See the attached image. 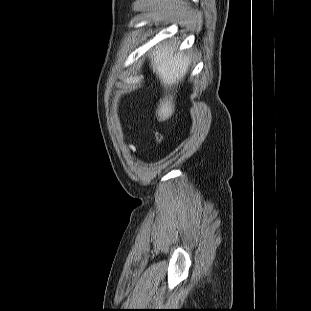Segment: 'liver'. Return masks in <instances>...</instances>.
Segmentation results:
<instances>
[{"mask_svg": "<svg viewBox=\"0 0 311 311\" xmlns=\"http://www.w3.org/2000/svg\"><path fill=\"white\" fill-rule=\"evenodd\" d=\"M190 59L182 52H177L170 45L158 46L151 55V67L156 72L161 84L166 90L178 86L183 80L190 66ZM174 102L171 94L166 95L160 101V105L156 111L159 121L169 119L174 113Z\"/></svg>", "mask_w": 311, "mask_h": 311, "instance_id": "obj_1", "label": "liver"}]
</instances>
